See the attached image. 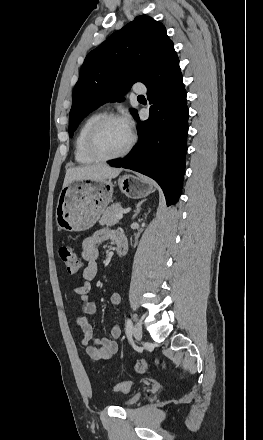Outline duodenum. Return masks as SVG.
Masks as SVG:
<instances>
[{
  "mask_svg": "<svg viewBox=\"0 0 263 440\" xmlns=\"http://www.w3.org/2000/svg\"><path fill=\"white\" fill-rule=\"evenodd\" d=\"M127 253V242L125 237L120 239L117 243V254L119 256H124Z\"/></svg>",
  "mask_w": 263,
  "mask_h": 440,
  "instance_id": "410a0bca",
  "label": "duodenum"
}]
</instances>
